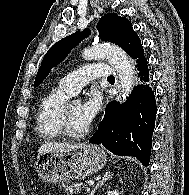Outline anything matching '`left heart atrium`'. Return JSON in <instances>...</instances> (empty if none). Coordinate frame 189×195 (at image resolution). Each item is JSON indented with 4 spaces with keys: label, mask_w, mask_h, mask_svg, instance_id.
Here are the masks:
<instances>
[{
    "label": "left heart atrium",
    "mask_w": 189,
    "mask_h": 195,
    "mask_svg": "<svg viewBox=\"0 0 189 195\" xmlns=\"http://www.w3.org/2000/svg\"><path fill=\"white\" fill-rule=\"evenodd\" d=\"M102 106V98L97 92L91 93L89 98L81 104V112L88 124H90L97 114L99 113Z\"/></svg>",
    "instance_id": "39dd6f15"
}]
</instances>
